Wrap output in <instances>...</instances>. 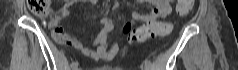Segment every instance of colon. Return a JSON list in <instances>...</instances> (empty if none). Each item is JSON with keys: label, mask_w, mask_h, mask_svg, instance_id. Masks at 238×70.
Listing matches in <instances>:
<instances>
[{"label": "colon", "mask_w": 238, "mask_h": 70, "mask_svg": "<svg viewBox=\"0 0 238 70\" xmlns=\"http://www.w3.org/2000/svg\"><path fill=\"white\" fill-rule=\"evenodd\" d=\"M176 12L181 15L187 14L193 7L194 0H176ZM28 7L30 11L39 16L46 17L51 13V1L50 0H29ZM144 25L135 29L130 36H128L127 43L141 42L145 39L162 36L166 34L170 26L163 24V21H157L156 19H145ZM55 32L59 33V29ZM124 50L127 48L125 45L122 47Z\"/></svg>", "instance_id": "obj_1"}]
</instances>
